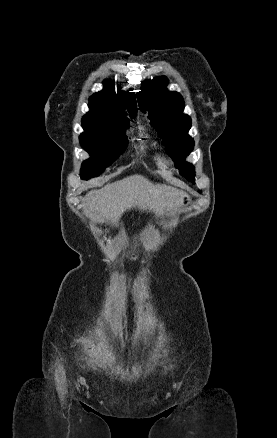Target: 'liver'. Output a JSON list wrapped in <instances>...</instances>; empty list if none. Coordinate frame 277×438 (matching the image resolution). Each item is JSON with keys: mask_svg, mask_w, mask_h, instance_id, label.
<instances>
[{"mask_svg": "<svg viewBox=\"0 0 277 438\" xmlns=\"http://www.w3.org/2000/svg\"><path fill=\"white\" fill-rule=\"evenodd\" d=\"M163 196H181L183 192L169 186H153L143 176H130L115 184H108L102 190H92L87 194L85 208L87 214H92L98 222L111 220L118 226L122 214L131 208L158 212ZM169 202V200H168Z\"/></svg>", "mask_w": 277, "mask_h": 438, "instance_id": "liver-1", "label": "liver"}]
</instances>
